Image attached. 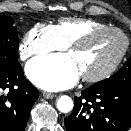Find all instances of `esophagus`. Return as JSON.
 Wrapping results in <instances>:
<instances>
[{"label": "esophagus", "instance_id": "34e87169", "mask_svg": "<svg viewBox=\"0 0 131 131\" xmlns=\"http://www.w3.org/2000/svg\"><path fill=\"white\" fill-rule=\"evenodd\" d=\"M43 96H44V98H46V99H52V98L55 97V94L48 93V92H43Z\"/></svg>", "mask_w": 131, "mask_h": 131}]
</instances>
